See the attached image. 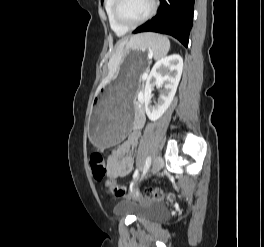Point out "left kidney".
<instances>
[{
	"label": "left kidney",
	"instance_id": "obj_1",
	"mask_svg": "<svg viewBox=\"0 0 264 247\" xmlns=\"http://www.w3.org/2000/svg\"><path fill=\"white\" fill-rule=\"evenodd\" d=\"M183 70L180 55L173 54L159 59L147 77L144 89L145 111L151 121L158 120L170 106ZM154 84L161 88L157 103L152 105L151 92Z\"/></svg>",
	"mask_w": 264,
	"mask_h": 247
}]
</instances>
